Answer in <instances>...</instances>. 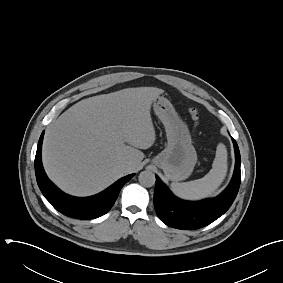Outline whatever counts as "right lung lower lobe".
I'll return each instance as SVG.
<instances>
[{
    "label": "right lung lower lobe",
    "mask_w": 283,
    "mask_h": 283,
    "mask_svg": "<svg viewBox=\"0 0 283 283\" xmlns=\"http://www.w3.org/2000/svg\"><path fill=\"white\" fill-rule=\"evenodd\" d=\"M43 137L44 131L38 142L35 157V173L38 186L44 197L56 210L69 217L93 219L106 214L115 203L120 189L134 174L119 179L106 190L94 196L80 198L67 195L58 189L45 174L41 161Z\"/></svg>",
    "instance_id": "obj_1"
}]
</instances>
